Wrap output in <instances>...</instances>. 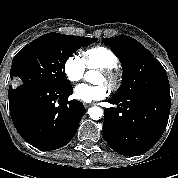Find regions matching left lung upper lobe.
<instances>
[{"mask_svg":"<svg viewBox=\"0 0 178 178\" xmlns=\"http://www.w3.org/2000/svg\"><path fill=\"white\" fill-rule=\"evenodd\" d=\"M103 42L115 50L123 66V82L113 98L142 93L171 101L165 69L142 44L125 35L104 38Z\"/></svg>","mask_w":178,"mask_h":178,"instance_id":"obj_1","label":"left lung upper lobe"}]
</instances>
